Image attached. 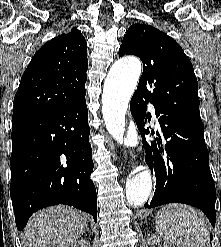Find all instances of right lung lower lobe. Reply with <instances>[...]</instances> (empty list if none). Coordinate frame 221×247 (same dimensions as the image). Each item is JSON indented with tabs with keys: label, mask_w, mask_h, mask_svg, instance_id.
Masks as SVG:
<instances>
[{
	"label": "right lung lower lobe",
	"mask_w": 221,
	"mask_h": 247,
	"mask_svg": "<svg viewBox=\"0 0 221 247\" xmlns=\"http://www.w3.org/2000/svg\"><path fill=\"white\" fill-rule=\"evenodd\" d=\"M10 195L18 230L47 206L66 204L97 221L85 97L66 107L12 120Z\"/></svg>",
	"instance_id": "1"
}]
</instances>
